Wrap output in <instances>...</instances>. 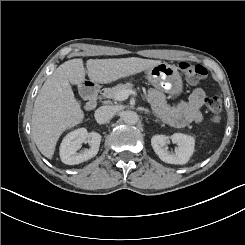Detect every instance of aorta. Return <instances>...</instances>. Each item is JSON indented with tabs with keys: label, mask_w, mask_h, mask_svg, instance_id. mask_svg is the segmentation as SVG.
<instances>
[{
	"label": "aorta",
	"mask_w": 245,
	"mask_h": 245,
	"mask_svg": "<svg viewBox=\"0 0 245 245\" xmlns=\"http://www.w3.org/2000/svg\"><path fill=\"white\" fill-rule=\"evenodd\" d=\"M138 114L134 111H125L123 114V120L126 124L134 125L138 122Z\"/></svg>",
	"instance_id": "1"
}]
</instances>
